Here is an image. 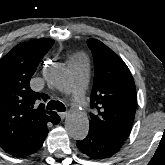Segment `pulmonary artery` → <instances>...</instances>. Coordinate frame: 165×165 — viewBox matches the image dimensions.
Segmentation results:
<instances>
[{"instance_id": "e3ab8cb5", "label": "pulmonary artery", "mask_w": 165, "mask_h": 165, "mask_svg": "<svg viewBox=\"0 0 165 165\" xmlns=\"http://www.w3.org/2000/svg\"><path fill=\"white\" fill-rule=\"evenodd\" d=\"M68 66L72 76L74 92L76 95H80L87 77V62L81 56H73L69 59Z\"/></svg>"}]
</instances>
